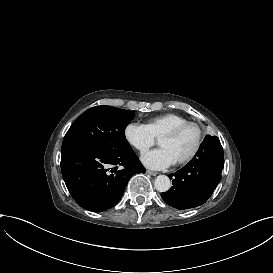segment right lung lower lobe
Wrapping results in <instances>:
<instances>
[{
  "mask_svg": "<svg viewBox=\"0 0 273 273\" xmlns=\"http://www.w3.org/2000/svg\"><path fill=\"white\" fill-rule=\"evenodd\" d=\"M110 166L112 170L106 169ZM61 171L77 204L100 212L115 206L129 179L136 173H145V168L132 149L116 152L80 146L61 152Z\"/></svg>",
  "mask_w": 273,
  "mask_h": 273,
  "instance_id": "right-lung-lower-lobe-1",
  "label": "right lung lower lobe"
}]
</instances>
